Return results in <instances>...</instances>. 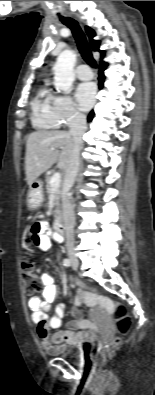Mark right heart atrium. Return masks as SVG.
Masks as SVG:
<instances>
[{
    "mask_svg": "<svg viewBox=\"0 0 155 395\" xmlns=\"http://www.w3.org/2000/svg\"><path fill=\"white\" fill-rule=\"evenodd\" d=\"M57 127L70 126L83 120V115L69 95H56L52 102Z\"/></svg>",
    "mask_w": 155,
    "mask_h": 395,
    "instance_id": "right-heart-atrium-1",
    "label": "right heart atrium"
}]
</instances>
